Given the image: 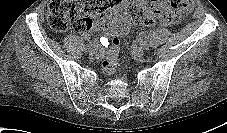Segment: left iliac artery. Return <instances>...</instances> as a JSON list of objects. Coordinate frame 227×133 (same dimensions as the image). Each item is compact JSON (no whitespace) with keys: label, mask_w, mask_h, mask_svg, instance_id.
<instances>
[{"label":"left iliac artery","mask_w":227,"mask_h":133,"mask_svg":"<svg viewBox=\"0 0 227 133\" xmlns=\"http://www.w3.org/2000/svg\"><path fill=\"white\" fill-rule=\"evenodd\" d=\"M140 46L141 48L148 50L149 49V45L146 42H140Z\"/></svg>","instance_id":"1"}]
</instances>
